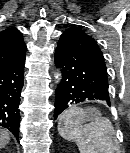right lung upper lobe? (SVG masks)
<instances>
[{"instance_id":"right-lung-upper-lobe-1","label":"right lung upper lobe","mask_w":130,"mask_h":153,"mask_svg":"<svg viewBox=\"0 0 130 153\" xmlns=\"http://www.w3.org/2000/svg\"><path fill=\"white\" fill-rule=\"evenodd\" d=\"M22 34L14 27L0 32V65L14 63L25 57Z\"/></svg>"}]
</instances>
